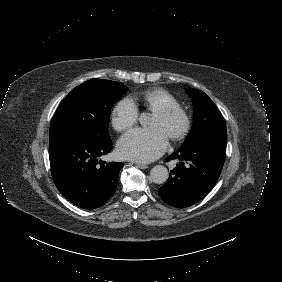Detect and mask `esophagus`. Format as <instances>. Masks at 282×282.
I'll list each match as a JSON object with an SVG mask.
<instances>
[{
    "instance_id": "34e87169",
    "label": "esophagus",
    "mask_w": 282,
    "mask_h": 282,
    "mask_svg": "<svg viewBox=\"0 0 282 282\" xmlns=\"http://www.w3.org/2000/svg\"><path fill=\"white\" fill-rule=\"evenodd\" d=\"M136 164L140 169H147L148 168V165H146V164H143V163H136Z\"/></svg>"
}]
</instances>
